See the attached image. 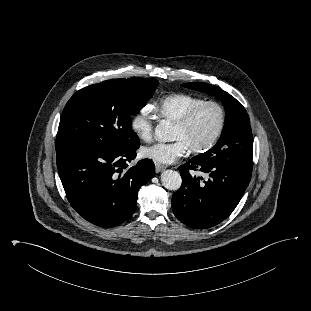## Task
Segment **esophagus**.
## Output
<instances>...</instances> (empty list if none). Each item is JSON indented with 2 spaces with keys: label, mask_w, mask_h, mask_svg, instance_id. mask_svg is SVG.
Returning a JSON list of instances; mask_svg holds the SVG:
<instances>
[{
  "label": "esophagus",
  "mask_w": 311,
  "mask_h": 311,
  "mask_svg": "<svg viewBox=\"0 0 311 311\" xmlns=\"http://www.w3.org/2000/svg\"><path fill=\"white\" fill-rule=\"evenodd\" d=\"M166 168L165 165H162L160 163H155V171L156 173H159L161 171H163Z\"/></svg>",
  "instance_id": "1"
}]
</instances>
